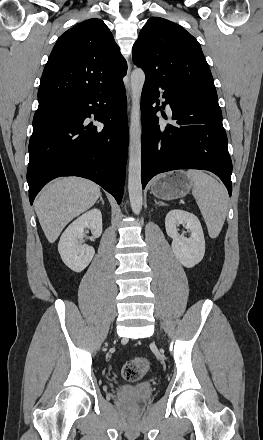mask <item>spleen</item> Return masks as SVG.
<instances>
[{"mask_svg":"<svg viewBox=\"0 0 263 440\" xmlns=\"http://www.w3.org/2000/svg\"><path fill=\"white\" fill-rule=\"evenodd\" d=\"M193 182L192 195L205 220L211 238L218 237L228 209V192L223 184L202 170H189Z\"/></svg>","mask_w":263,"mask_h":440,"instance_id":"3e777b00","label":"spleen"}]
</instances>
